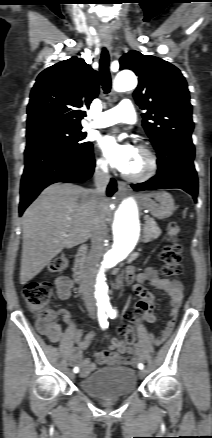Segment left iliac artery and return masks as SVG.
<instances>
[{"instance_id":"1","label":"left iliac artery","mask_w":212,"mask_h":438,"mask_svg":"<svg viewBox=\"0 0 212 438\" xmlns=\"http://www.w3.org/2000/svg\"><path fill=\"white\" fill-rule=\"evenodd\" d=\"M106 312L111 319H114L116 317V312L111 306L106 307ZM138 368L142 370L144 369V365L142 363H139Z\"/></svg>"}]
</instances>
